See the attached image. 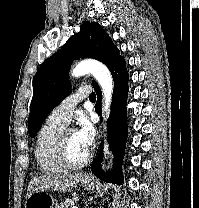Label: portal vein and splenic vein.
<instances>
[{"instance_id":"1","label":"portal vein and splenic vein","mask_w":199,"mask_h":208,"mask_svg":"<svg viewBox=\"0 0 199 208\" xmlns=\"http://www.w3.org/2000/svg\"><path fill=\"white\" fill-rule=\"evenodd\" d=\"M71 208H78L77 206L71 207Z\"/></svg>"}]
</instances>
